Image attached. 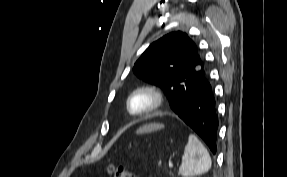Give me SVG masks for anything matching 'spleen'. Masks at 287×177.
Masks as SVG:
<instances>
[{
	"label": "spleen",
	"mask_w": 287,
	"mask_h": 177,
	"mask_svg": "<svg viewBox=\"0 0 287 177\" xmlns=\"http://www.w3.org/2000/svg\"><path fill=\"white\" fill-rule=\"evenodd\" d=\"M211 164L210 155L204 145L195 135H189L179 174L183 177L204 174L211 168Z\"/></svg>",
	"instance_id": "1"
}]
</instances>
